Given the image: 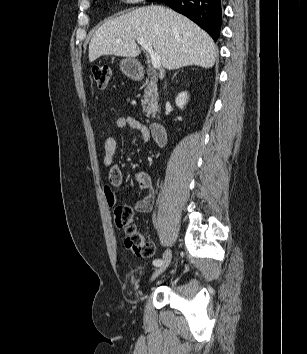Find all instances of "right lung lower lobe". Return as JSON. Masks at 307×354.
Listing matches in <instances>:
<instances>
[{"label": "right lung lower lobe", "instance_id": "98d812e1", "mask_svg": "<svg viewBox=\"0 0 307 354\" xmlns=\"http://www.w3.org/2000/svg\"><path fill=\"white\" fill-rule=\"evenodd\" d=\"M187 16L216 41L221 28V0H162Z\"/></svg>", "mask_w": 307, "mask_h": 354}]
</instances>
